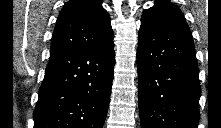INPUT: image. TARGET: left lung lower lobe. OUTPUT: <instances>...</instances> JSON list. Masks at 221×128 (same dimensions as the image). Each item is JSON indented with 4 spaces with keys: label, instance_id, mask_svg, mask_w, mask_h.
Returning a JSON list of instances; mask_svg holds the SVG:
<instances>
[{
    "label": "left lung lower lobe",
    "instance_id": "obj_1",
    "mask_svg": "<svg viewBox=\"0 0 221 128\" xmlns=\"http://www.w3.org/2000/svg\"><path fill=\"white\" fill-rule=\"evenodd\" d=\"M138 34L141 128H197L201 88L192 36L149 18Z\"/></svg>",
    "mask_w": 221,
    "mask_h": 128
}]
</instances>
